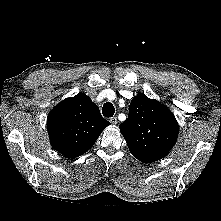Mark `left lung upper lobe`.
<instances>
[{"mask_svg":"<svg viewBox=\"0 0 221 221\" xmlns=\"http://www.w3.org/2000/svg\"><path fill=\"white\" fill-rule=\"evenodd\" d=\"M119 128L130 152L142 162L165 157L176 143L179 132L173 113L144 94L132 99L128 118Z\"/></svg>","mask_w":221,"mask_h":221,"instance_id":"1","label":"left lung upper lobe"}]
</instances>
